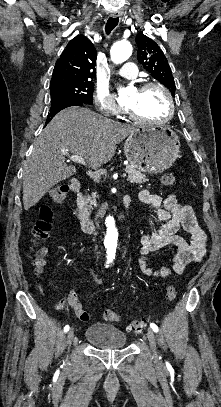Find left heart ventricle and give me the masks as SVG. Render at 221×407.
<instances>
[{
  "label": "left heart ventricle",
  "instance_id": "1",
  "mask_svg": "<svg viewBox=\"0 0 221 407\" xmlns=\"http://www.w3.org/2000/svg\"><path fill=\"white\" fill-rule=\"evenodd\" d=\"M125 106L132 108L147 120H161L168 112L167 98L158 88H151L145 92L134 91Z\"/></svg>",
  "mask_w": 221,
  "mask_h": 407
}]
</instances>
